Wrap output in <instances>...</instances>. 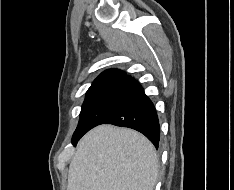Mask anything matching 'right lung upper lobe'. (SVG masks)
Listing matches in <instances>:
<instances>
[{
    "instance_id": "obj_1",
    "label": "right lung upper lobe",
    "mask_w": 234,
    "mask_h": 190,
    "mask_svg": "<svg viewBox=\"0 0 234 190\" xmlns=\"http://www.w3.org/2000/svg\"><path fill=\"white\" fill-rule=\"evenodd\" d=\"M129 75L118 69H108L102 72L92 83L90 88L105 85L111 82L127 80Z\"/></svg>"
}]
</instances>
